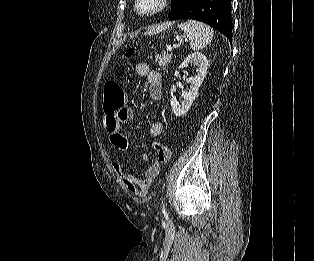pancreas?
<instances>
[{"instance_id": "1", "label": "pancreas", "mask_w": 314, "mask_h": 261, "mask_svg": "<svg viewBox=\"0 0 314 261\" xmlns=\"http://www.w3.org/2000/svg\"><path fill=\"white\" fill-rule=\"evenodd\" d=\"M172 59V54L169 53H163L162 55H156L155 56V63H157V65L165 70L166 67L170 64Z\"/></svg>"}]
</instances>
